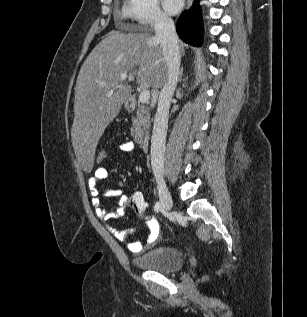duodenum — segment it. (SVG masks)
I'll return each mask as SVG.
<instances>
[{"instance_id": "duodenum-1", "label": "duodenum", "mask_w": 307, "mask_h": 317, "mask_svg": "<svg viewBox=\"0 0 307 317\" xmlns=\"http://www.w3.org/2000/svg\"><path fill=\"white\" fill-rule=\"evenodd\" d=\"M127 105L129 108H134L135 105H136V100L131 98L128 100L127 102ZM140 144H141V147L144 151H147L148 148H149V145H150V137L149 135L145 134L141 137V140H140Z\"/></svg>"}]
</instances>
